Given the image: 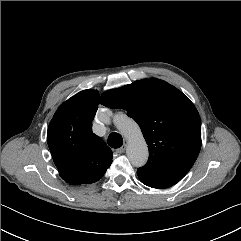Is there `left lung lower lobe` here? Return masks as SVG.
<instances>
[{
    "label": "left lung lower lobe",
    "mask_w": 241,
    "mask_h": 241,
    "mask_svg": "<svg viewBox=\"0 0 241 241\" xmlns=\"http://www.w3.org/2000/svg\"><path fill=\"white\" fill-rule=\"evenodd\" d=\"M137 175L143 184L152 188H168L176 184L175 182L147 173L141 169L137 170Z\"/></svg>",
    "instance_id": "1"
}]
</instances>
